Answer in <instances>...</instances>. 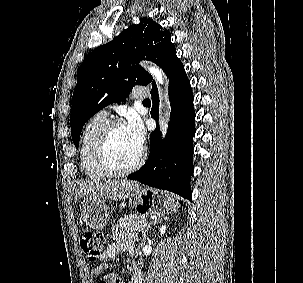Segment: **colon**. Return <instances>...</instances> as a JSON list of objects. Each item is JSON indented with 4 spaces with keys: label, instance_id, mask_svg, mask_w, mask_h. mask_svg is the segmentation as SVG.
<instances>
[{
    "label": "colon",
    "instance_id": "colon-1",
    "mask_svg": "<svg viewBox=\"0 0 303 283\" xmlns=\"http://www.w3.org/2000/svg\"><path fill=\"white\" fill-rule=\"evenodd\" d=\"M80 246L87 259L95 261L98 260L103 253L105 238L100 234L85 231L80 237ZM98 283H117V280L115 276L110 275L103 277Z\"/></svg>",
    "mask_w": 303,
    "mask_h": 283
}]
</instances>
